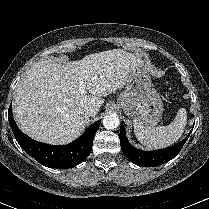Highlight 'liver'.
I'll return each instance as SVG.
<instances>
[{
	"mask_svg": "<svg viewBox=\"0 0 209 209\" xmlns=\"http://www.w3.org/2000/svg\"><path fill=\"white\" fill-rule=\"evenodd\" d=\"M143 65L139 55L122 49L89 54L63 65L55 59L41 60L16 87L14 118L21 131L37 141L72 142L88 121L85 107L99 110L103 97L122 88L130 73ZM80 81L85 83L84 94L79 92Z\"/></svg>",
	"mask_w": 209,
	"mask_h": 209,
	"instance_id": "6515ba94",
	"label": "liver"
}]
</instances>
